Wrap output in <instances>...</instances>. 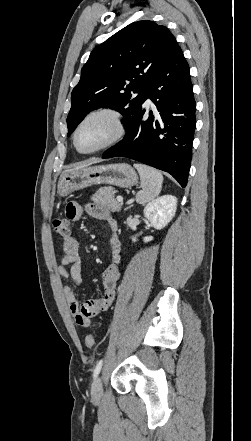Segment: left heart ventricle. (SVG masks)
I'll return each mask as SVG.
<instances>
[{"label":"left heart ventricle","mask_w":251,"mask_h":441,"mask_svg":"<svg viewBox=\"0 0 251 441\" xmlns=\"http://www.w3.org/2000/svg\"><path fill=\"white\" fill-rule=\"evenodd\" d=\"M115 132V126L107 116L90 118L78 133V145L82 150H91L107 141Z\"/></svg>","instance_id":"b2bd125f"}]
</instances>
